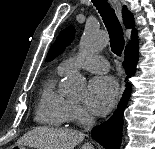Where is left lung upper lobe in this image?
<instances>
[{
	"label": "left lung upper lobe",
	"instance_id": "1",
	"mask_svg": "<svg viewBox=\"0 0 155 149\" xmlns=\"http://www.w3.org/2000/svg\"><path fill=\"white\" fill-rule=\"evenodd\" d=\"M74 35L75 29L73 26H69L63 31H61L54 44L51 46L45 61L50 62L56 56L61 54L65 50L66 46L71 43Z\"/></svg>",
	"mask_w": 155,
	"mask_h": 149
}]
</instances>
